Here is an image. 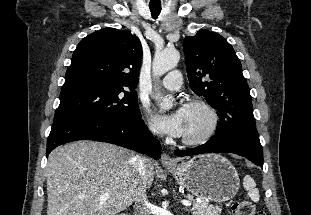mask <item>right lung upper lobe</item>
I'll return each mask as SVG.
<instances>
[{
  "label": "right lung upper lobe",
  "mask_w": 311,
  "mask_h": 215,
  "mask_svg": "<svg viewBox=\"0 0 311 215\" xmlns=\"http://www.w3.org/2000/svg\"><path fill=\"white\" fill-rule=\"evenodd\" d=\"M142 46L130 32L115 28L96 31L78 44L63 86L92 83L135 89Z\"/></svg>",
  "instance_id": "obj_1"
}]
</instances>
